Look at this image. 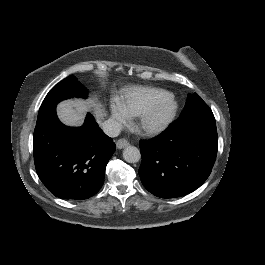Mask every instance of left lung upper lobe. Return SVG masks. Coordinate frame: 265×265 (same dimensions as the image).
Returning a JSON list of instances; mask_svg holds the SVG:
<instances>
[{
  "mask_svg": "<svg viewBox=\"0 0 265 265\" xmlns=\"http://www.w3.org/2000/svg\"><path fill=\"white\" fill-rule=\"evenodd\" d=\"M205 107H207V104L201 99L198 94H189L186 101V105L183 111L181 112V115H186Z\"/></svg>",
  "mask_w": 265,
  "mask_h": 265,
  "instance_id": "1",
  "label": "left lung upper lobe"
}]
</instances>
